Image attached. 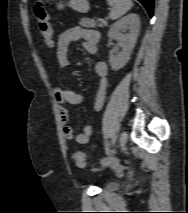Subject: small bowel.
I'll use <instances>...</instances> for the list:
<instances>
[{
  "mask_svg": "<svg viewBox=\"0 0 188 213\" xmlns=\"http://www.w3.org/2000/svg\"><path fill=\"white\" fill-rule=\"evenodd\" d=\"M79 40L83 42L85 50L90 55H95L97 53L98 43L100 40V36L97 31L79 26L70 28L60 35L56 47V56L61 68H66L69 65V47ZM93 68L98 78V88L94 102V109L96 111H100L103 108L106 99L108 86V69L106 63L100 60H96L94 62ZM54 97L59 104V115L65 139L67 141H74L79 144L88 143L93 133L92 126L86 125L84 126L83 131L81 133H75L70 123L69 111L65 106L66 104L79 105L83 103L84 96L71 89L58 87L54 91Z\"/></svg>",
  "mask_w": 188,
  "mask_h": 213,
  "instance_id": "1",
  "label": "small bowel"
}]
</instances>
